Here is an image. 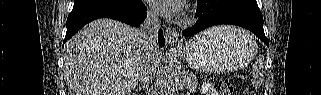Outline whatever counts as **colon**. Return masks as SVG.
<instances>
[{"mask_svg": "<svg viewBox=\"0 0 321 95\" xmlns=\"http://www.w3.org/2000/svg\"><path fill=\"white\" fill-rule=\"evenodd\" d=\"M234 92V87H233V84L226 80L224 81L221 86H220V94L222 95H230V94H233Z\"/></svg>", "mask_w": 321, "mask_h": 95, "instance_id": "5ec220e1", "label": "colon"}]
</instances>
